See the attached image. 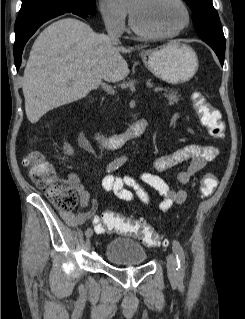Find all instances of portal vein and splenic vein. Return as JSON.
Masks as SVG:
<instances>
[{
  "instance_id": "18ae733b",
  "label": "portal vein and splenic vein",
  "mask_w": 245,
  "mask_h": 319,
  "mask_svg": "<svg viewBox=\"0 0 245 319\" xmlns=\"http://www.w3.org/2000/svg\"><path fill=\"white\" fill-rule=\"evenodd\" d=\"M102 86H103V88H104L105 91H107L108 93L114 94V89H113L111 86L106 85V84H104V83H102ZM165 90H166V89L163 88V87H155V88L153 89L154 93H160V92L165 91Z\"/></svg>"
}]
</instances>
